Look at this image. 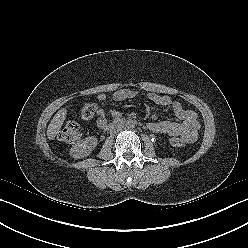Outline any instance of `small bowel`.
<instances>
[{"label":"small bowel","instance_id":"c3829d8e","mask_svg":"<svg viewBox=\"0 0 248 248\" xmlns=\"http://www.w3.org/2000/svg\"><path fill=\"white\" fill-rule=\"evenodd\" d=\"M138 97V92L131 89H119L113 92L111 100L114 102H122ZM146 98L159 106L170 107L178 119V121H152L148 123V128L154 133L165 134L169 136H180L186 140L187 143H192L197 139L200 123L198 121L197 113L193 110L185 109L182 104L173 100L169 96L159 95L156 93H148ZM97 100L104 103L107 100L105 94H99ZM97 126L100 128L107 127L108 118L103 108L97 109ZM112 117H118L116 111H111Z\"/></svg>","mask_w":248,"mask_h":248}]
</instances>
